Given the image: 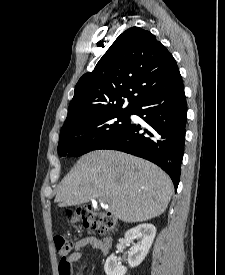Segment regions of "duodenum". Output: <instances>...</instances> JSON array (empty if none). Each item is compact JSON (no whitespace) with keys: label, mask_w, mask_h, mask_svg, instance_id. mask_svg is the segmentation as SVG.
I'll return each mask as SVG.
<instances>
[{"label":"duodenum","mask_w":225,"mask_h":275,"mask_svg":"<svg viewBox=\"0 0 225 275\" xmlns=\"http://www.w3.org/2000/svg\"><path fill=\"white\" fill-rule=\"evenodd\" d=\"M102 242H103L104 253H107L110 248V239L104 238Z\"/></svg>","instance_id":"obj_1"}]
</instances>
